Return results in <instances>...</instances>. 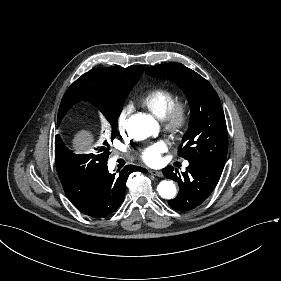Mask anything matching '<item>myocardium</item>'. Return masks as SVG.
Here are the masks:
<instances>
[{
  "label": "myocardium",
  "instance_id": "obj_1",
  "mask_svg": "<svg viewBox=\"0 0 281 281\" xmlns=\"http://www.w3.org/2000/svg\"><path fill=\"white\" fill-rule=\"evenodd\" d=\"M188 121L189 111L187 105L183 101H176L162 118V125L167 132L177 134L187 126Z\"/></svg>",
  "mask_w": 281,
  "mask_h": 281
}]
</instances>
